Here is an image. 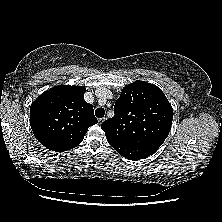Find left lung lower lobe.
I'll return each mask as SVG.
<instances>
[{
  "label": "left lung lower lobe",
  "mask_w": 222,
  "mask_h": 222,
  "mask_svg": "<svg viewBox=\"0 0 222 222\" xmlns=\"http://www.w3.org/2000/svg\"><path fill=\"white\" fill-rule=\"evenodd\" d=\"M122 156L128 158L130 160H140L150 156L151 154L155 153L157 149L151 147H144V146H125L119 144H112Z\"/></svg>",
  "instance_id": "0a47b994"
}]
</instances>
